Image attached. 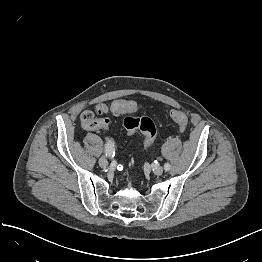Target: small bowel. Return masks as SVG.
Listing matches in <instances>:
<instances>
[{
  "label": "small bowel",
  "mask_w": 262,
  "mask_h": 262,
  "mask_svg": "<svg viewBox=\"0 0 262 262\" xmlns=\"http://www.w3.org/2000/svg\"><path fill=\"white\" fill-rule=\"evenodd\" d=\"M107 110V106H103V111ZM107 126V125H106ZM106 126L102 127L105 128Z\"/></svg>",
  "instance_id": "small-bowel-1"
}]
</instances>
